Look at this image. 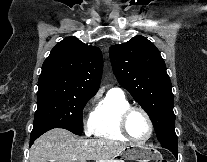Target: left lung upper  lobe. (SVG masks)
Returning <instances> with one entry per match:
<instances>
[{
	"instance_id": "5c2ea615",
	"label": "left lung upper lobe",
	"mask_w": 207,
	"mask_h": 162,
	"mask_svg": "<svg viewBox=\"0 0 207 162\" xmlns=\"http://www.w3.org/2000/svg\"><path fill=\"white\" fill-rule=\"evenodd\" d=\"M109 54L119 83L148 113L158 140L176 138L172 85L159 50L137 35L111 46Z\"/></svg>"
}]
</instances>
